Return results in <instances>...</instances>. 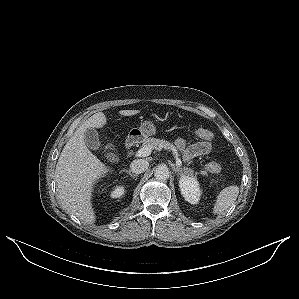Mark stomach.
I'll use <instances>...</instances> for the list:
<instances>
[{
  "instance_id": "0dacf381",
  "label": "stomach",
  "mask_w": 299,
  "mask_h": 299,
  "mask_svg": "<svg viewBox=\"0 0 299 299\" xmlns=\"http://www.w3.org/2000/svg\"><path fill=\"white\" fill-rule=\"evenodd\" d=\"M156 134V126L150 120H145L141 122L138 128H132L128 134V141L140 142L149 136Z\"/></svg>"
}]
</instances>
